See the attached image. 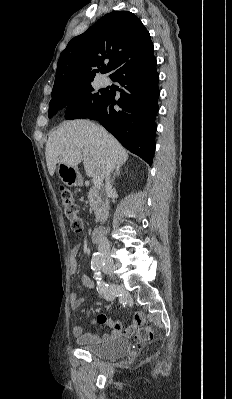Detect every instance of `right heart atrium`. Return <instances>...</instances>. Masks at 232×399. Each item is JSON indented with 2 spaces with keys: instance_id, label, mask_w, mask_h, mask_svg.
<instances>
[{
  "instance_id": "d8ad5b80",
  "label": "right heart atrium",
  "mask_w": 232,
  "mask_h": 399,
  "mask_svg": "<svg viewBox=\"0 0 232 399\" xmlns=\"http://www.w3.org/2000/svg\"><path fill=\"white\" fill-rule=\"evenodd\" d=\"M67 112L72 115V114H75L77 112V109L75 107H73V106H70V107L67 108Z\"/></svg>"
}]
</instances>
